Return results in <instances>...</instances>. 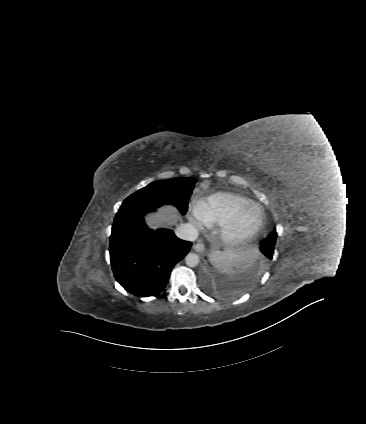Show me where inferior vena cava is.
<instances>
[{
    "mask_svg": "<svg viewBox=\"0 0 366 424\" xmlns=\"http://www.w3.org/2000/svg\"><path fill=\"white\" fill-rule=\"evenodd\" d=\"M175 234L181 240L195 241L198 238L199 232L194 225L185 223L175 230Z\"/></svg>",
    "mask_w": 366,
    "mask_h": 424,
    "instance_id": "1",
    "label": "inferior vena cava"
}]
</instances>
